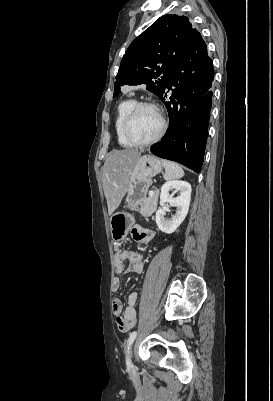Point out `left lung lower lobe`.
Listing matches in <instances>:
<instances>
[{"instance_id":"obj_1","label":"left lung lower lobe","mask_w":273,"mask_h":401,"mask_svg":"<svg viewBox=\"0 0 273 401\" xmlns=\"http://www.w3.org/2000/svg\"><path fill=\"white\" fill-rule=\"evenodd\" d=\"M213 61L207 46L197 40L176 63L163 100L169 114V128L162 141L150 151L158 157L179 162L199 173L205 154L212 106ZM174 86V89L171 87Z\"/></svg>"}]
</instances>
